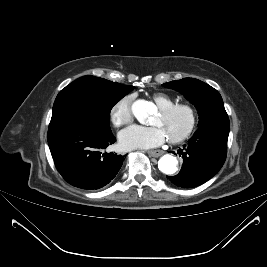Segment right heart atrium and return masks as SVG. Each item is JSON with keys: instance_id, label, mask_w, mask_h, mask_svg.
<instances>
[{"instance_id": "obj_1", "label": "right heart atrium", "mask_w": 267, "mask_h": 267, "mask_svg": "<svg viewBox=\"0 0 267 267\" xmlns=\"http://www.w3.org/2000/svg\"><path fill=\"white\" fill-rule=\"evenodd\" d=\"M132 97L124 96L120 98L110 110V120L115 127H122L132 121Z\"/></svg>"}]
</instances>
